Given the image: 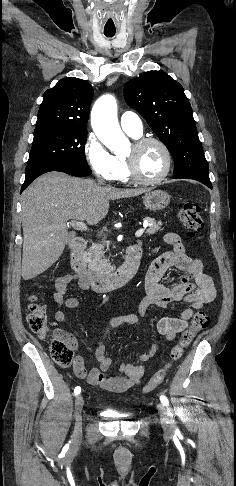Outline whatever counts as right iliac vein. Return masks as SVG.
Here are the masks:
<instances>
[{
  "label": "right iliac vein",
  "mask_w": 236,
  "mask_h": 486,
  "mask_svg": "<svg viewBox=\"0 0 236 486\" xmlns=\"http://www.w3.org/2000/svg\"><path fill=\"white\" fill-rule=\"evenodd\" d=\"M84 405V400L82 395H78L75 399V419H76V426L75 431L77 436H81L82 434V409Z\"/></svg>",
  "instance_id": "right-iliac-vein-1"
}]
</instances>
